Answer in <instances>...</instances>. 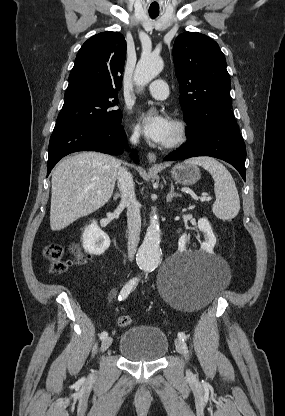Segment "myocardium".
Segmentation results:
<instances>
[{
	"instance_id": "myocardium-1",
	"label": "myocardium",
	"mask_w": 285,
	"mask_h": 416,
	"mask_svg": "<svg viewBox=\"0 0 285 416\" xmlns=\"http://www.w3.org/2000/svg\"><path fill=\"white\" fill-rule=\"evenodd\" d=\"M173 136L171 140L165 143L164 148L175 149L181 146L186 139V129L179 121H174L172 124Z\"/></svg>"
}]
</instances>
